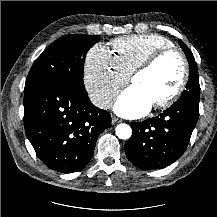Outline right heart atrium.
Here are the masks:
<instances>
[{
    "instance_id": "1",
    "label": "right heart atrium",
    "mask_w": 217,
    "mask_h": 217,
    "mask_svg": "<svg viewBox=\"0 0 217 217\" xmlns=\"http://www.w3.org/2000/svg\"><path fill=\"white\" fill-rule=\"evenodd\" d=\"M128 75L116 64L113 55L103 45L91 47L85 59L84 83L91 101L99 108H108Z\"/></svg>"
}]
</instances>
